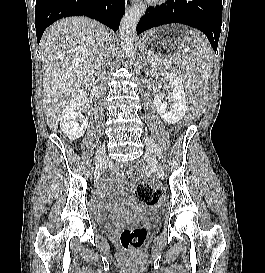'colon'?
Returning <instances> with one entry per match:
<instances>
[{"instance_id": "colon-1", "label": "colon", "mask_w": 265, "mask_h": 273, "mask_svg": "<svg viewBox=\"0 0 265 273\" xmlns=\"http://www.w3.org/2000/svg\"><path fill=\"white\" fill-rule=\"evenodd\" d=\"M128 175L136 179L138 173L134 169L128 171ZM134 194L137 200L145 205H156L160 198L161 192L148 182H137L134 186ZM149 234V228L146 226L128 227L120 231L119 242L125 249L140 248Z\"/></svg>"}]
</instances>
